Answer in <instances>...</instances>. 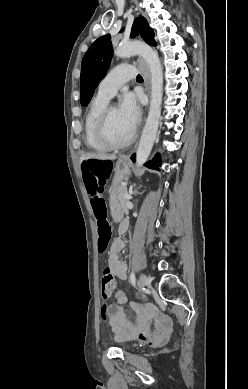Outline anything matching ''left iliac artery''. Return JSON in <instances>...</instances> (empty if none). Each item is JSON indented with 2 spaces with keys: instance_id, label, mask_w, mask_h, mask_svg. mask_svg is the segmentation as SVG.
Listing matches in <instances>:
<instances>
[{
  "instance_id": "1",
  "label": "left iliac artery",
  "mask_w": 248,
  "mask_h": 389,
  "mask_svg": "<svg viewBox=\"0 0 248 389\" xmlns=\"http://www.w3.org/2000/svg\"><path fill=\"white\" fill-rule=\"evenodd\" d=\"M130 281H131L132 285L135 286V274H134V272L131 273Z\"/></svg>"
}]
</instances>
